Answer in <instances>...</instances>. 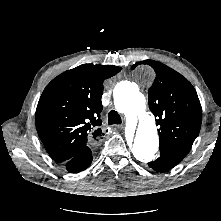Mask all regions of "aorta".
<instances>
[{"instance_id":"762f6f07","label":"aorta","mask_w":221,"mask_h":221,"mask_svg":"<svg viewBox=\"0 0 221 221\" xmlns=\"http://www.w3.org/2000/svg\"><path fill=\"white\" fill-rule=\"evenodd\" d=\"M150 73L147 68L141 69L143 76ZM114 105L119 113L127 118L139 122L132 145L134 157L141 162H150L155 159L159 148V137L153 116L146 113V101L138 87L131 82H123L114 91Z\"/></svg>"}]
</instances>
